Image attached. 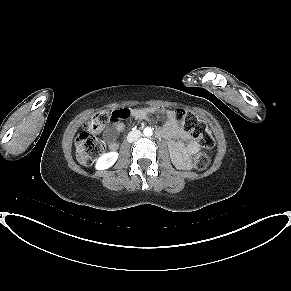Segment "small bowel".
Masks as SVG:
<instances>
[{
	"mask_svg": "<svg viewBox=\"0 0 291 291\" xmlns=\"http://www.w3.org/2000/svg\"><path fill=\"white\" fill-rule=\"evenodd\" d=\"M157 111L154 107L138 108L132 111V116L136 119H143L148 115ZM166 118L163 127L159 128L157 134L160 138L169 141L172 157L178 163H183L184 157L194 155L199 150V143L186 132L180 123L177 121L175 112L169 109L160 110ZM125 125L117 118L112 119V127L107 131L105 140L111 150L118 147L116 138L119 133H122ZM180 138L183 142L177 141Z\"/></svg>",
	"mask_w": 291,
	"mask_h": 291,
	"instance_id": "obj_1",
	"label": "small bowel"
}]
</instances>
